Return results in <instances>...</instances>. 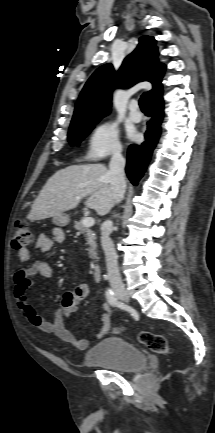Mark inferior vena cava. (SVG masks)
<instances>
[{"label": "inferior vena cava", "instance_id": "obj_1", "mask_svg": "<svg viewBox=\"0 0 215 433\" xmlns=\"http://www.w3.org/2000/svg\"><path fill=\"white\" fill-rule=\"evenodd\" d=\"M124 167L125 159L122 156L121 150H117L112 155L108 170L109 182L116 203H119L123 199L126 190ZM112 229L113 223L111 220H106L102 224L101 245L105 253L106 267L111 287L114 291H124V284L122 283L118 269L117 254L110 238Z\"/></svg>", "mask_w": 215, "mask_h": 433}]
</instances>
